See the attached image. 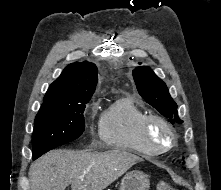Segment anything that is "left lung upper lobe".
I'll use <instances>...</instances> for the list:
<instances>
[{
    "instance_id": "1",
    "label": "left lung upper lobe",
    "mask_w": 221,
    "mask_h": 190,
    "mask_svg": "<svg viewBox=\"0 0 221 190\" xmlns=\"http://www.w3.org/2000/svg\"><path fill=\"white\" fill-rule=\"evenodd\" d=\"M132 74L138 93L147 103L165 117L172 118L175 116L174 121L183 122L178 118L177 104L171 98L165 83L149 67H137ZM170 122L173 121L170 120Z\"/></svg>"
}]
</instances>
